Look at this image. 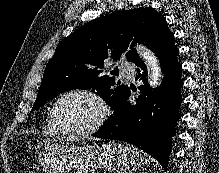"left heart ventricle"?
Here are the masks:
<instances>
[{"instance_id": "obj_1", "label": "left heart ventricle", "mask_w": 219, "mask_h": 173, "mask_svg": "<svg viewBox=\"0 0 219 173\" xmlns=\"http://www.w3.org/2000/svg\"><path fill=\"white\" fill-rule=\"evenodd\" d=\"M99 114L98 104L85 95L68 96L57 107L58 121L68 131H78L90 126Z\"/></svg>"}]
</instances>
